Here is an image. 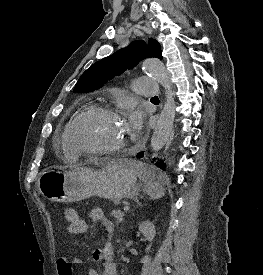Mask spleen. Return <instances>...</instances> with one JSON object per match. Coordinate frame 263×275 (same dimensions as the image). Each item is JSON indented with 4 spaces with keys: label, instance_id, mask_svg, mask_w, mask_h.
<instances>
[{
    "label": "spleen",
    "instance_id": "obj_1",
    "mask_svg": "<svg viewBox=\"0 0 263 275\" xmlns=\"http://www.w3.org/2000/svg\"><path fill=\"white\" fill-rule=\"evenodd\" d=\"M130 166L134 169L140 181L144 183V192L153 200H157L164 196V189L158 182H153L147 168L140 162H130Z\"/></svg>",
    "mask_w": 263,
    "mask_h": 275
}]
</instances>
